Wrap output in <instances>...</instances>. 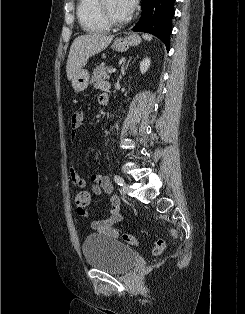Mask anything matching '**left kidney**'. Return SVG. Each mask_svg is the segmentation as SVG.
Masks as SVG:
<instances>
[{
	"label": "left kidney",
	"mask_w": 245,
	"mask_h": 314,
	"mask_svg": "<svg viewBox=\"0 0 245 314\" xmlns=\"http://www.w3.org/2000/svg\"><path fill=\"white\" fill-rule=\"evenodd\" d=\"M151 60L150 58L146 57L144 58L140 63V71L142 74H144L150 67Z\"/></svg>",
	"instance_id": "left-kidney-1"
}]
</instances>
